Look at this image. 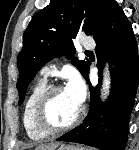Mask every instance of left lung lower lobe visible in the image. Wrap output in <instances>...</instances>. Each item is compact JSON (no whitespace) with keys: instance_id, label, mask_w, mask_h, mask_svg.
<instances>
[{"instance_id":"0a47b994","label":"left lung lower lobe","mask_w":139,"mask_h":150,"mask_svg":"<svg viewBox=\"0 0 139 150\" xmlns=\"http://www.w3.org/2000/svg\"><path fill=\"white\" fill-rule=\"evenodd\" d=\"M94 39L97 66L102 67L105 57L110 62L111 94L105 103H101L99 91L90 85V108L85 121L57 140L101 150H124L138 86L139 56L132 27L118 3ZM101 75L99 73L100 79ZM85 79L89 83L88 73Z\"/></svg>"}]
</instances>
